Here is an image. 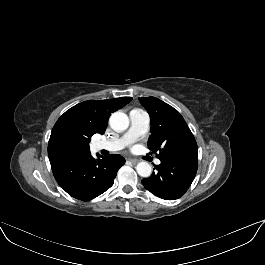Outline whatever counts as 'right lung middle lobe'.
Returning <instances> with one entry per match:
<instances>
[{
	"instance_id": "dd1d6c3e",
	"label": "right lung middle lobe",
	"mask_w": 265,
	"mask_h": 265,
	"mask_svg": "<svg viewBox=\"0 0 265 265\" xmlns=\"http://www.w3.org/2000/svg\"><path fill=\"white\" fill-rule=\"evenodd\" d=\"M90 140L86 141L84 144L88 147Z\"/></svg>"
}]
</instances>
